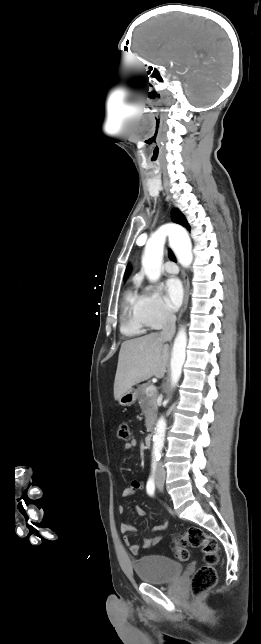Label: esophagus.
I'll use <instances>...</instances> for the list:
<instances>
[{"mask_svg":"<svg viewBox=\"0 0 261 644\" xmlns=\"http://www.w3.org/2000/svg\"><path fill=\"white\" fill-rule=\"evenodd\" d=\"M189 288H190L189 279L186 276V274H184V300H183V306H182L181 313H183L186 310L187 305H188Z\"/></svg>","mask_w":261,"mask_h":644,"instance_id":"obj_1","label":"esophagus"}]
</instances>
